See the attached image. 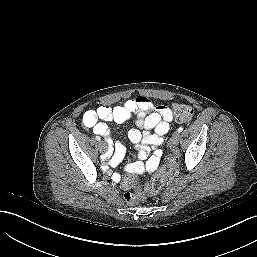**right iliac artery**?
<instances>
[{
	"mask_svg": "<svg viewBox=\"0 0 257 257\" xmlns=\"http://www.w3.org/2000/svg\"><path fill=\"white\" fill-rule=\"evenodd\" d=\"M96 140L100 141L101 139L99 136H96ZM106 155H107V153H106Z\"/></svg>",
	"mask_w": 257,
	"mask_h": 257,
	"instance_id": "obj_1",
	"label": "right iliac artery"
}]
</instances>
